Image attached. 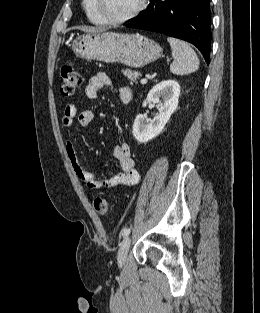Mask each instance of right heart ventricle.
I'll use <instances>...</instances> for the list:
<instances>
[{"instance_id": "1", "label": "right heart ventricle", "mask_w": 260, "mask_h": 313, "mask_svg": "<svg viewBox=\"0 0 260 313\" xmlns=\"http://www.w3.org/2000/svg\"><path fill=\"white\" fill-rule=\"evenodd\" d=\"M82 7L88 20L95 25H104V21L98 15L95 7L94 0H82Z\"/></svg>"}]
</instances>
